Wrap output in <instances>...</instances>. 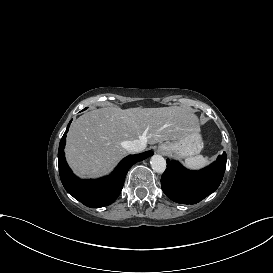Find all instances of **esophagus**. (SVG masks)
Here are the masks:
<instances>
[{
	"instance_id": "1",
	"label": "esophagus",
	"mask_w": 273,
	"mask_h": 273,
	"mask_svg": "<svg viewBox=\"0 0 273 273\" xmlns=\"http://www.w3.org/2000/svg\"><path fill=\"white\" fill-rule=\"evenodd\" d=\"M157 152L160 154H167L166 146H159Z\"/></svg>"
}]
</instances>
